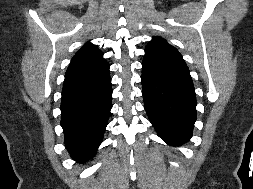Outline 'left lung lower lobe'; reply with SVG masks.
Returning a JSON list of instances; mask_svg holds the SVG:
<instances>
[{
	"mask_svg": "<svg viewBox=\"0 0 253 189\" xmlns=\"http://www.w3.org/2000/svg\"><path fill=\"white\" fill-rule=\"evenodd\" d=\"M144 106L158 135L178 146L192 136L196 121V95L190 75L142 63Z\"/></svg>",
	"mask_w": 253,
	"mask_h": 189,
	"instance_id": "0a47b994",
	"label": "left lung lower lobe"
}]
</instances>
